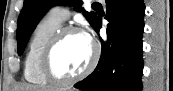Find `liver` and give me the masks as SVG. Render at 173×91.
<instances>
[{
	"instance_id": "obj_1",
	"label": "liver",
	"mask_w": 173,
	"mask_h": 91,
	"mask_svg": "<svg viewBox=\"0 0 173 91\" xmlns=\"http://www.w3.org/2000/svg\"><path fill=\"white\" fill-rule=\"evenodd\" d=\"M14 91H39L37 87L32 85H23L21 87H16Z\"/></svg>"
}]
</instances>
